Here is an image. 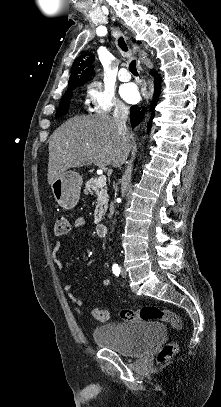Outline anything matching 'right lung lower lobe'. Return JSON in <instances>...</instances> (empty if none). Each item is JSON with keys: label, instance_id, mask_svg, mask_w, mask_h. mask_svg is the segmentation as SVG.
Wrapping results in <instances>:
<instances>
[{"label": "right lung lower lobe", "instance_id": "right-lung-lower-lobe-1", "mask_svg": "<svg viewBox=\"0 0 221 407\" xmlns=\"http://www.w3.org/2000/svg\"><path fill=\"white\" fill-rule=\"evenodd\" d=\"M151 74L154 76L155 78V88H154V97H153V101L151 102V111L154 109L155 105L157 104L158 101V96L160 95V82L161 79L159 78V75L156 71L151 70ZM144 112H145V108H141L138 107L137 105L131 106L130 108V119L132 122V126H136L139 122L142 121L143 116H144ZM154 117V112H152V118ZM152 118L150 119L149 123H148V130L147 133L150 131L151 128V123H152Z\"/></svg>", "mask_w": 221, "mask_h": 407}]
</instances>
